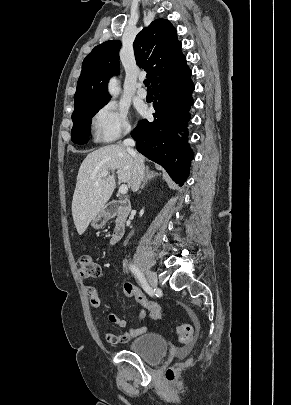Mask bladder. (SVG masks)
<instances>
[{
	"label": "bladder",
	"instance_id": "1",
	"mask_svg": "<svg viewBox=\"0 0 291 405\" xmlns=\"http://www.w3.org/2000/svg\"><path fill=\"white\" fill-rule=\"evenodd\" d=\"M127 350L149 364H156L166 355L168 344L161 334L146 332L131 340Z\"/></svg>",
	"mask_w": 291,
	"mask_h": 405
}]
</instances>
